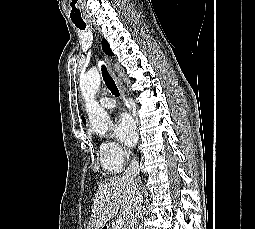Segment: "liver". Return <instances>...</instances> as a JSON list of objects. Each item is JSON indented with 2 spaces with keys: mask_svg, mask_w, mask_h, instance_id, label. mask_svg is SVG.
<instances>
[{
  "mask_svg": "<svg viewBox=\"0 0 255 229\" xmlns=\"http://www.w3.org/2000/svg\"><path fill=\"white\" fill-rule=\"evenodd\" d=\"M138 184H133L123 176H115L102 181L95 193L91 217L87 229H99L119 211L127 218Z\"/></svg>",
  "mask_w": 255,
  "mask_h": 229,
  "instance_id": "1",
  "label": "liver"
}]
</instances>
